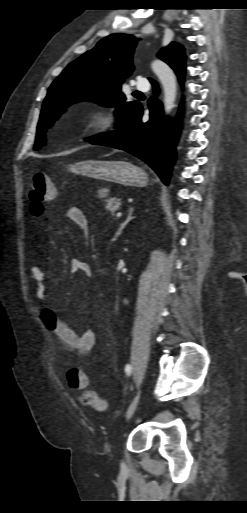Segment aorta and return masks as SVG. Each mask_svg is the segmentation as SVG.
<instances>
[{
  "label": "aorta",
  "mask_w": 247,
  "mask_h": 513,
  "mask_svg": "<svg viewBox=\"0 0 247 513\" xmlns=\"http://www.w3.org/2000/svg\"><path fill=\"white\" fill-rule=\"evenodd\" d=\"M151 68L162 85L164 113L168 115L175 104L177 92L176 76L173 70L159 59L152 61Z\"/></svg>",
  "instance_id": "762f6f07"
}]
</instances>
